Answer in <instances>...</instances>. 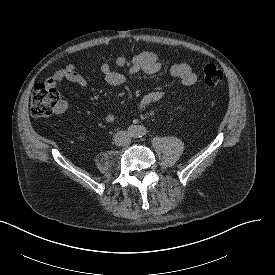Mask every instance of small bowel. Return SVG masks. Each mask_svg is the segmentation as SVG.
<instances>
[{
  "label": "small bowel",
  "mask_w": 275,
  "mask_h": 275,
  "mask_svg": "<svg viewBox=\"0 0 275 275\" xmlns=\"http://www.w3.org/2000/svg\"><path fill=\"white\" fill-rule=\"evenodd\" d=\"M115 67L125 68L129 74L144 73L153 75L165 70L171 77L177 78L185 86H192L197 82V75L193 69L185 63L169 64L164 66L154 52H142L133 57L120 56L114 62ZM100 72L107 84L111 86H119L126 80L124 73L114 70L108 62H104L100 66ZM63 81H69L77 84L81 88H87V80L78 73L76 67L72 64L67 65L63 69L54 73L48 83L55 86ZM165 96L162 90H153L145 94L138 103L139 110H145L154 103L161 101ZM66 110V103L61 101L56 109L57 114H61ZM117 117L114 114H108L106 121L114 123Z\"/></svg>",
  "instance_id": "1"
}]
</instances>
